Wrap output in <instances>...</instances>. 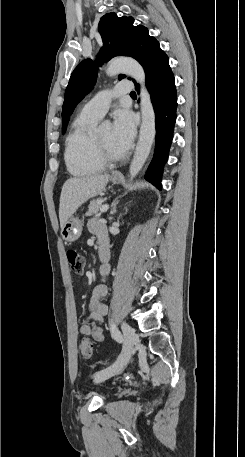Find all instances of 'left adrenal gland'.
<instances>
[{
	"mask_svg": "<svg viewBox=\"0 0 245 457\" xmlns=\"http://www.w3.org/2000/svg\"><path fill=\"white\" fill-rule=\"evenodd\" d=\"M116 204H118L117 198H115V200H113V202H112L111 214H114V212H117V210H116V208H117Z\"/></svg>",
	"mask_w": 245,
	"mask_h": 457,
	"instance_id": "1",
	"label": "left adrenal gland"
}]
</instances>
